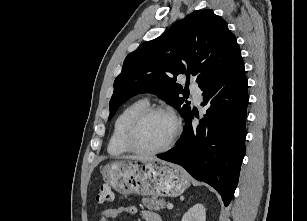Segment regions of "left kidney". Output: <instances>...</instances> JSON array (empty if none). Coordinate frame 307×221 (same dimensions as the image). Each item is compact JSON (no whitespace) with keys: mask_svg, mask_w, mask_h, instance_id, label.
I'll use <instances>...</instances> for the list:
<instances>
[{"mask_svg":"<svg viewBox=\"0 0 307 221\" xmlns=\"http://www.w3.org/2000/svg\"><path fill=\"white\" fill-rule=\"evenodd\" d=\"M181 221H206V209L198 203L191 207L182 217Z\"/></svg>","mask_w":307,"mask_h":221,"instance_id":"left-kidney-1","label":"left kidney"}]
</instances>
